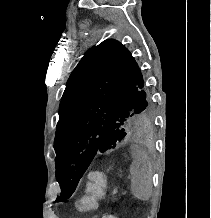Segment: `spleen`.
<instances>
[{"label": "spleen", "mask_w": 211, "mask_h": 218, "mask_svg": "<svg viewBox=\"0 0 211 218\" xmlns=\"http://www.w3.org/2000/svg\"><path fill=\"white\" fill-rule=\"evenodd\" d=\"M130 166L131 192L138 200H149L152 194V170L143 152L137 150Z\"/></svg>", "instance_id": "spleen-1"}]
</instances>
